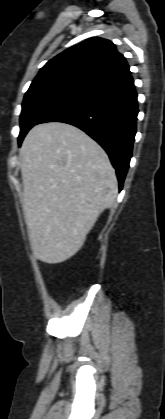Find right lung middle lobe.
Returning <instances> with one entry per match:
<instances>
[{
    "mask_svg": "<svg viewBox=\"0 0 165 419\" xmlns=\"http://www.w3.org/2000/svg\"><path fill=\"white\" fill-rule=\"evenodd\" d=\"M85 93L60 86L35 89L25 94L20 115V134L18 145L37 122L47 113L72 101Z\"/></svg>",
    "mask_w": 165,
    "mask_h": 419,
    "instance_id": "right-lung-middle-lobe-1",
    "label": "right lung middle lobe"
}]
</instances>
